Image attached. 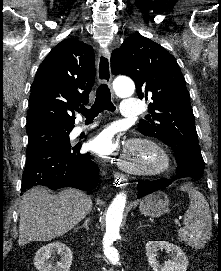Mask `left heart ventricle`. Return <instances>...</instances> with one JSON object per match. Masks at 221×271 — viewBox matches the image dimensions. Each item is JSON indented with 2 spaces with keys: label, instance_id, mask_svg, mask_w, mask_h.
<instances>
[{
  "label": "left heart ventricle",
  "instance_id": "b2bd125f",
  "mask_svg": "<svg viewBox=\"0 0 221 271\" xmlns=\"http://www.w3.org/2000/svg\"><path fill=\"white\" fill-rule=\"evenodd\" d=\"M131 164H142V159H131Z\"/></svg>",
  "mask_w": 221,
  "mask_h": 271
}]
</instances>
